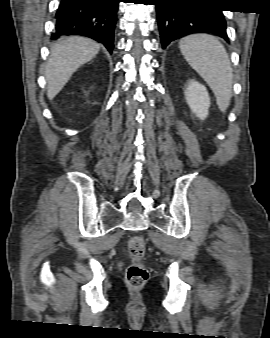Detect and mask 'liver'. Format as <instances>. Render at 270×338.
Instances as JSON below:
<instances>
[{"label":"liver","mask_w":270,"mask_h":338,"mask_svg":"<svg viewBox=\"0 0 270 338\" xmlns=\"http://www.w3.org/2000/svg\"><path fill=\"white\" fill-rule=\"evenodd\" d=\"M99 50L100 44L84 37L73 36L56 42L45 68L48 99L52 100L73 73L91 61Z\"/></svg>","instance_id":"obj_1"}]
</instances>
